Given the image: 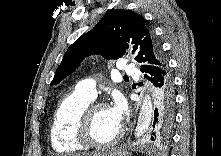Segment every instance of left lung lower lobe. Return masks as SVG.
<instances>
[{
    "mask_svg": "<svg viewBox=\"0 0 221 156\" xmlns=\"http://www.w3.org/2000/svg\"><path fill=\"white\" fill-rule=\"evenodd\" d=\"M146 72L152 85V121L148 140L162 142L169 138L174 122V85L167 63L152 66ZM141 84V83H140Z\"/></svg>",
    "mask_w": 221,
    "mask_h": 156,
    "instance_id": "1",
    "label": "left lung lower lobe"
}]
</instances>
